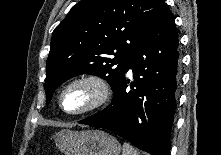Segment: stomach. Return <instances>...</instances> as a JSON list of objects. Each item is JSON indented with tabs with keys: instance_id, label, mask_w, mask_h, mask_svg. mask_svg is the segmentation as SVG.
<instances>
[{
	"instance_id": "1",
	"label": "stomach",
	"mask_w": 221,
	"mask_h": 155,
	"mask_svg": "<svg viewBox=\"0 0 221 155\" xmlns=\"http://www.w3.org/2000/svg\"><path fill=\"white\" fill-rule=\"evenodd\" d=\"M55 143L64 155H119L121 151L117 139L102 130L63 129Z\"/></svg>"
}]
</instances>
